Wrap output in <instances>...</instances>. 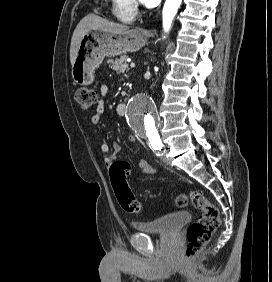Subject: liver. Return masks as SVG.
Segmentation results:
<instances>
[{
    "label": "liver",
    "mask_w": 272,
    "mask_h": 282,
    "mask_svg": "<svg viewBox=\"0 0 272 282\" xmlns=\"http://www.w3.org/2000/svg\"><path fill=\"white\" fill-rule=\"evenodd\" d=\"M91 30H103L113 33H122L129 30V27L120 23L109 21L95 14H88L78 23L77 27L73 32L70 46L71 65H73L75 61L79 43L83 35H85Z\"/></svg>",
    "instance_id": "obj_1"
}]
</instances>
